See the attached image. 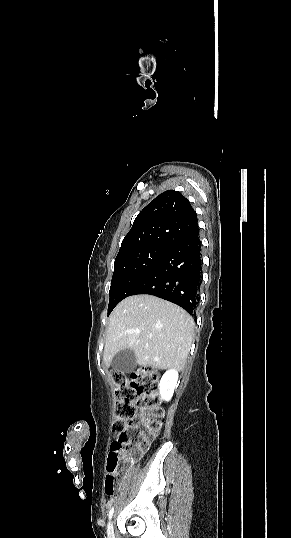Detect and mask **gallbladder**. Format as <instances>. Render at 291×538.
I'll list each match as a JSON object with an SVG mask.
<instances>
[{"label":"gallbladder","instance_id":"bac80fb5","mask_svg":"<svg viewBox=\"0 0 291 538\" xmlns=\"http://www.w3.org/2000/svg\"><path fill=\"white\" fill-rule=\"evenodd\" d=\"M137 366L136 356L133 350L124 349L119 351L112 359V367L120 373H130Z\"/></svg>","mask_w":291,"mask_h":538}]
</instances>
